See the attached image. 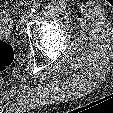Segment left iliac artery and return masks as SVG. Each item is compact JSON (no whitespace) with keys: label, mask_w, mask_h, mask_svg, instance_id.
<instances>
[{"label":"left iliac artery","mask_w":113,"mask_h":113,"mask_svg":"<svg viewBox=\"0 0 113 113\" xmlns=\"http://www.w3.org/2000/svg\"><path fill=\"white\" fill-rule=\"evenodd\" d=\"M39 8H40V3L39 2H35L32 5L31 11L32 12H37L39 10Z\"/></svg>","instance_id":"44dca946"}]
</instances>
